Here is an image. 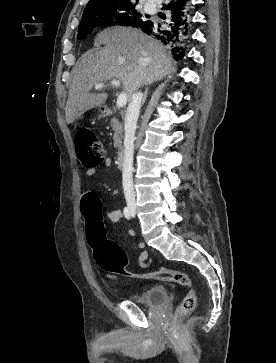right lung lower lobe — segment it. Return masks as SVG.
<instances>
[{
  "mask_svg": "<svg viewBox=\"0 0 276 363\" xmlns=\"http://www.w3.org/2000/svg\"><path fill=\"white\" fill-rule=\"evenodd\" d=\"M165 8L170 10L166 22L146 21L140 28L161 40L176 59H182L191 30V3L190 0H169Z\"/></svg>",
  "mask_w": 276,
  "mask_h": 363,
  "instance_id": "obj_1",
  "label": "right lung lower lobe"
}]
</instances>
